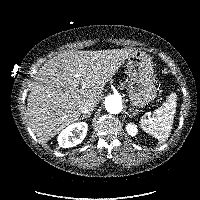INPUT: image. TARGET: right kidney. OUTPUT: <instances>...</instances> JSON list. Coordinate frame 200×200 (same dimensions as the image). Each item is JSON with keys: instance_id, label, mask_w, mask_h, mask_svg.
I'll return each mask as SVG.
<instances>
[{"instance_id": "right-kidney-1", "label": "right kidney", "mask_w": 200, "mask_h": 200, "mask_svg": "<svg viewBox=\"0 0 200 200\" xmlns=\"http://www.w3.org/2000/svg\"><path fill=\"white\" fill-rule=\"evenodd\" d=\"M88 125L85 122L73 123L58 135V144L62 148H70L80 144L86 137Z\"/></svg>"}]
</instances>
